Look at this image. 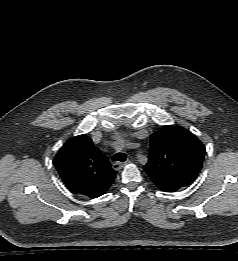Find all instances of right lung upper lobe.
I'll return each instance as SVG.
<instances>
[{
  "mask_svg": "<svg viewBox=\"0 0 238 261\" xmlns=\"http://www.w3.org/2000/svg\"><path fill=\"white\" fill-rule=\"evenodd\" d=\"M54 163L70 190L90 198L104 194L117 174L102 152L94 147L91 138L84 134L67 140Z\"/></svg>",
  "mask_w": 238,
  "mask_h": 261,
  "instance_id": "obj_1",
  "label": "right lung upper lobe"
}]
</instances>
